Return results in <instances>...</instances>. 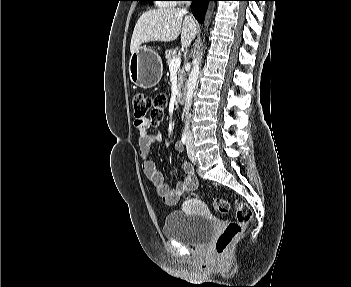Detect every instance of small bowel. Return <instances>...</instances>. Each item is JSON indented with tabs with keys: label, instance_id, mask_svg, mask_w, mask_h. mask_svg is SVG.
<instances>
[{
	"label": "small bowel",
	"instance_id": "1",
	"mask_svg": "<svg viewBox=\"0 0 351 287\" xmlns=\"http://www.w3.org/2000/svg\"><path fill=\"white\" fill-rule=\"evenodd\" d=\"M135 127L138 132V148L139 155L142 161V168L146 176L157 188V192L167 205L176 204L181 196L188 191H193L197 188L198 181L194 173L193 166L188 162L182 163V169L185 173L182 181L172 188L166 182L164 175L158 170L155 162L150 157L151 146L162 141V135L157 127L149 124V120H135ZM176 151L183 150V143L175 144Z\"/></svg>",
	"mask_w": 351,
	"mask_h": 287
}]
</instances>
